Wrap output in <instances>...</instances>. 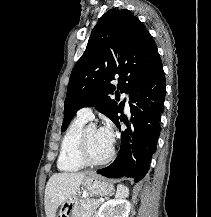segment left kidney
<instances>
[{"label":"left kidney","mask_w":211,"mask_h":217,"mask_svg":"<svg viewBox=\"0 0 211 217\" xmlns=\"http://www.w3.org/2000/svg\"><path fill=\"white\" fill-rule=\"evenodd\" d=\"M131 205L125 199L108 200L99 208L96 217H128Z\"/></svg>","instance_id":"left-kidney-1"}]
</instances>
